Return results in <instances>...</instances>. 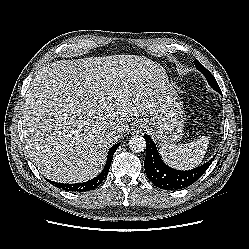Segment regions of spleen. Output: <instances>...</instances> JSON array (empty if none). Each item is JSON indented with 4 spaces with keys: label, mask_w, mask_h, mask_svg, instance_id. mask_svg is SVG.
<instances>
[{
    "label": "spleen",
    "mask_w": 249,
    "mask_h": 249,
    "mask_svg": "<svg viewBox=\"0 0 249 249\" xmlns=\"http://www.w3.org/2000/svg\"><path fill=\"white\" fill-rule=\"evenodd\" d=\"M209 137L201 138L187 144H162L160 153L164 161L177 169L188 170L198 166L208 149Z\"/></svg>",
    "instance_id": "spleen-1"
}]
</instances>
